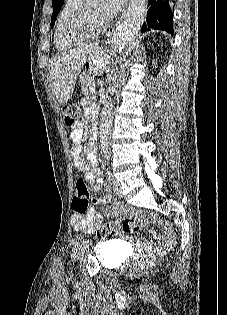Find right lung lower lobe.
<instances>
[{"label": "right lung lower lobe", "instance_id": "right-lung-lower-lobe-1", "mask_svg": "<svg viewBox=\"0 0 227 315\" xmlns=\"http://www.w3.org/2000/svg\"><path fill=\"white\" fill-rule=\"evenodd\" d=\"M168 2L169 0H148L147 17L141 28L142 32L160 29L173 34V15Z\"/></svg>", "mask_w": 227, "mask_h": 315}]
</instances>
